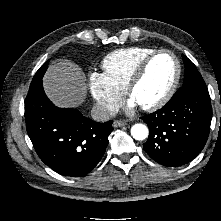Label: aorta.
<instances>
[{
    "label": "aorta",
    "mask_w": 221,
    "mask_h": 221,
    "mask_svg": "<svg viewBox=\"0 0 221 221\" xmlns=\"http://www.w3.org/2000/svg\"><path fill=\"white\" fill-rule=\"evenodd\" d=\"M148 128L144 124H135L131 127V135L135 140H144L148 137Z\"/></svg>",
    "instance_id": "762f6f07"
}]
</instances>
